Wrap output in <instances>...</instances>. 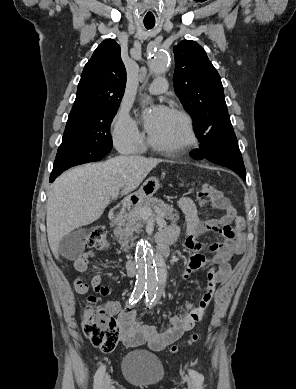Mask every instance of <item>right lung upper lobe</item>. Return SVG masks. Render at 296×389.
Here are the masks:
<instances>
[{
    "label": "right lung upper lobe",
    "mask_w": 296,
    "mask_h": 389,
    "mask_svg": "<svg viewBox=\"0 0 296 389\" xmlns=\"http://www.w3.org/2000/svg\"><path fill=\"white\" fill-rule=\"evenodd\" d=\"M125 84L120 46L115 40L106 39L84 67L68 120L83 117L93 109L119 106Z\"/></svg>",
    "instance_id": "obj_1"
}]
</instances>
